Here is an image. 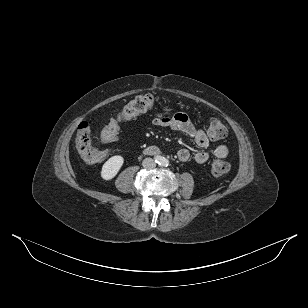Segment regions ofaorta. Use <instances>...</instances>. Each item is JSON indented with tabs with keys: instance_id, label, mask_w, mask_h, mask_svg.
Returning a JSON list of instances; mask_svg holds the SVG:
<instances>
[{
	"instance_id": "aorta-1",
	"label": "aorta",
	"mask_w": 308,
	"mask_h": 308,
	"mask_svg": "<svg viewBox=\"0 0 308 308\" xmlns=\"http://www.w3.org/2000/svg\"><path fill=\"white\" fill-rule=\"evenodd\" d=\"M158 162H159V165H161V166H168L169 165V160L166 159L165 157H160Z\"/></svg>"
}]
</instances>
